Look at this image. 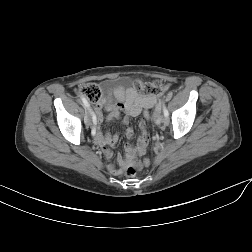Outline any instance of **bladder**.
I'll use <instances>...</instances> for the list:
<instances>
[{
    "mask_svg": "<svg viewBox=\"0 0 252 252\" xmlns=\"http://www.w3.org/2000/svg\"><path fill=\"white\" fill-rule=\"evenodd\" d=\"M125 79H116V80H111L108 82L109 85H118L120 84L122 81H124Z\"/></svg>",
    "mask_w": 252,
    "mask_h": 252,
    "instance_id": "1",
    "label": "bladder"
}]
</instances>
